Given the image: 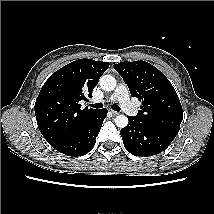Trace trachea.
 I'll list each match as a JSON object with an SVG mask.
<instances>
[{
    "instance_id": "3493384b",
    "label": "trachea",
    "mask_w": 214,
    "mask_h": 214,
    "mask_svg": "<svg viewBox=\"0 0 214 214\" xmlns=\"http://www.w3.org/2000/svg\"><path fill=\"white\" fill-rule=\"evenodd\" d=\"M91 107L99 109V108H103V104L102 103L91 104ZM111 108L117 112L120 111V107L116 104L112 105Z\"/></svg>"
}]
</instances>
